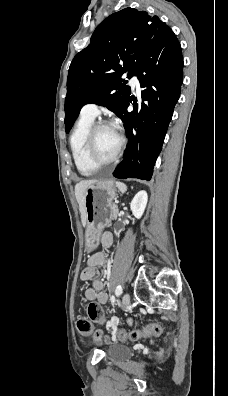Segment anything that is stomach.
<instances>
[{
    "instance_id": "obj_1",
    "label": "stomach",
    "mask_w": 228,
    "mask_h": 396,
    "mask_svg": "<svg viewBox=\"0 0 228 396\" xmlns=\"http://www.w3.org/2000/svg\"><path fill=\"white\" fill-rule=\"evenodd\" d=\"M116 186L112 180L96 181L85 190L86 209L85 248L93 251L99 244L103 229L113 215Z\"/></svg>"
}]
</instances>
